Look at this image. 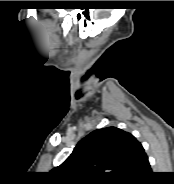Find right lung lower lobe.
I'll use <instances>...</instances> for the list:
<instances>
[{"label":"right lung lower lobe","instance_id":"right-lung-lower-lobe-1","mask_svg":"<svg viewBox=\"0 0 174 184\" xmlns=\"http://www.w3.org/2000/svg\"><path fill=\"white\" fill-rule=\"evenodd\" d=\"M151 174L150 164L147 159L131 178L119 182V184H147Z\"/></svg>","mask_w":174,"mask_h":184}]
</instances>
